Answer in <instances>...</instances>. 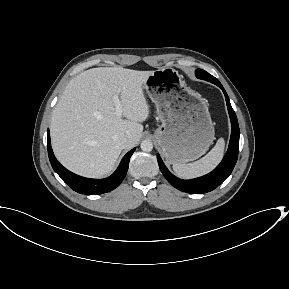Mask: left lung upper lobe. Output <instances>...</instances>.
I'll return each instance as SVG.
<instances>
[{
    "mask_svg": "<svg viewBox=\"0 0 289 289\" xmlns=\"http://www.w3.org/2000/svg\"><path fill=\"white\" fill-rule=\"evenodd\" d=\"M196 77L199 79H203L206 81H209L213 84H216L217 86H219L221 83L218 81V79H216L214 76H212L211 74H209L208 72L202 70V69H197L196 70Z\"/></svg>",
    "mask_w": 289,
    "mask_h": 289,
    "instance_id": "obj_1",
    "label": "left lung upper lobe"
}]
</instances>
